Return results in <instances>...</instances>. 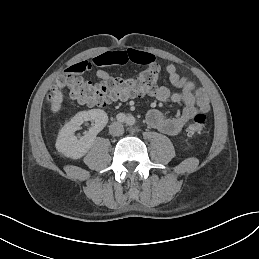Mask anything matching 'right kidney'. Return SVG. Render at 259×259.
I'll use <instances>...</instances> for the list:
<instances>
[{
    "label": "right kidney",
    "instance_id": "1",
    "mask_svg": "<svg viewBox=\"0 0 259 259\" xmlns=\"http://www.w3.org/2000/svg\"><path fill=\"white\" fill-rule=\"evenodd\" d=\"M94 121V127L81 139H77L74 133L81 128L85 121ZM108 115L102 109H91L76 114L59 131L56 139V150L71 160L83 158L93 146L96 136L108 123Z\"/></svg>",
    "mask_w": 259,
    "mask_h": 259
}]
</instances>
